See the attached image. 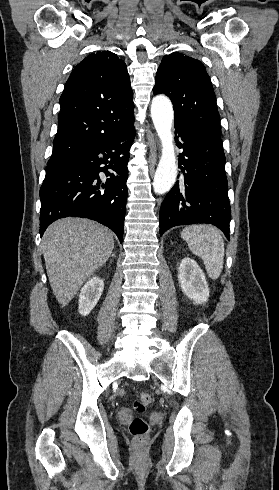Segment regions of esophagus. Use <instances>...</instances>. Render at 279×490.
Instances as JSON below:
<instances>
[{
	"label": "esophagus",
	"instance_id": "1",
	"mask_svg": "<svg viewBox=\"0 0 279 490\" xmlns=\"http://www.w3.org/2000/svg\"><path fill=\"white\" fill-rule=\"evenodd\" d=\"M155 153H156V150L154 149L153 154H155ZM155 163H156V157H153L152 158V167L154 166Z\"/></svg>",
	"mask_w": 279,
	"mask_h": 490
}]
</instances>
